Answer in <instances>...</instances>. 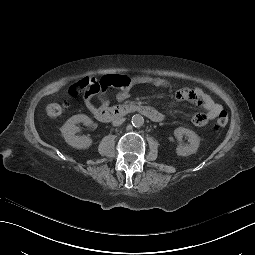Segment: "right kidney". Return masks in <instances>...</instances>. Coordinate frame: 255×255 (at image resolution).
<instances>
[{"label":"right kidney","mask_w":255,"mask_h":255,"mask_svg":"<svg viewBox=\"0 0 255 255\" xmlns=\"http://www.w3.org/2000/svg\"><path fill=\"white\" fill-rule=\"evenodd\" d=\"M81 122L86 126L91 124V120L86 115H75L68 119L64 126L60 129L67 144L75 149H87L93 143V140L88 136L79 137L75 135L78 131L77 124Z\"/></svg>","instance_id":"right-kidney-1"}]
</instances>
